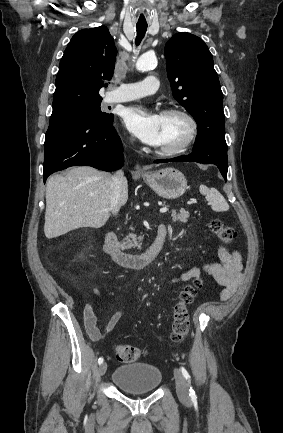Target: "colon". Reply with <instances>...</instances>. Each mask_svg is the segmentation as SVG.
I'll return each mask as SVG.
<instances>
[{
  "label": "colon",
  "instance_id": "5ec220e1",
  "mask_svg": "<svg viewBox=\"0 0 283 433\" xmlns=\"http://www.w3.org/2000/svg\"><path fill=\"white\" fill-rule=\"evenodd\" d=\"M213 234L222 242L230 243L236 236V230L219 219L212 220L210 224ZM202 281L196 280L193 284L185 286L178 294L174 307L171 339L175 343L182 342L189 332L190 318L188 307L194 301ZM115 356L121 362H134L144 355V350L128 345L118 344L115 347Z\"/></svg>",
  "mask_w": 283,
  "mask_h": 433
}]
</instances>
